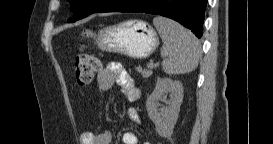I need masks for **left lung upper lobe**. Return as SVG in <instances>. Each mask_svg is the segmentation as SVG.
Segmentation results:
<instances>
[{"instance_id": "obj_1", "label": "left lung upper lobe", "mask_w": 273, "mask_h": 144, "mask_svg": "<svg viewBox=\"0 0 273 144\" xmlns=\"http://www.w3.org/2000/svg\"><path fill=\"white\" fill-rule=\"evenodd\" d=\"M74 16L69 20H79L92 14L98 8L99 0H70Z\"/></svg>"}]
</instances>
